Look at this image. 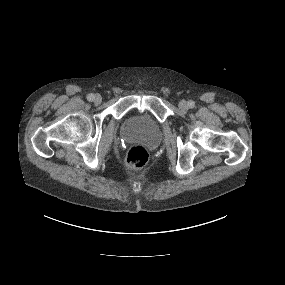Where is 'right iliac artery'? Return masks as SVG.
<instances>
[{
  "label": "right iliac artery",
  "mask_w": 285,
  "mask_h": 285,
  "mask_svg": "<svg viewBox=\"0 0 285 285\" xmlns=\"http://www.w3.org/2000/svg\"><path fill=\"white\" fill-rule=\"evenodd\" d=\"M87 100L88 101H93L94 100V94L90 93L87 95Z\"/></svg>",
  "instance_id": "obj_1"
}]
</instances>
